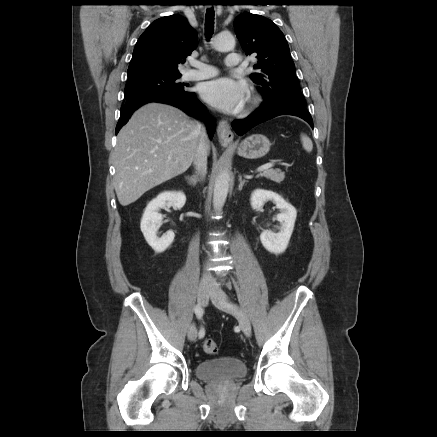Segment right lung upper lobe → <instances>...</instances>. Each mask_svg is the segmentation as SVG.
I'll return each instance as SVG.
<instances>
[{"label":"right lung upper lobe","instance_id":"cb5924a9","mask_svg":"<svg viewBox=\"0 0 437 437\" xmlns=\"http://www.w3.org/2000/svg\"><path fill=\"white\" fill-rule=\"evenodd\" d=\"M198 41L196 31L181 15L152 22L139 37L128 67V75L180 74L177 65L191 55Z\"/></svg>","mask_w":437,"mask_h":437}]
</instances>
